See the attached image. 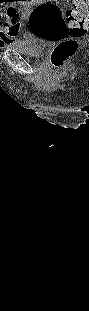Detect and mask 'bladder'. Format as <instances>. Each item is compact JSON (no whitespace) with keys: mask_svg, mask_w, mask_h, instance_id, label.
Listing matches in <instances>:
<instances>
[{"mask_svg":"<svg viewBox=\"0 0 89 311\" xmlns=\"http://www.w3.org/2000/svg\"><path fill=\"white\" fill-rule=\"evenodd\" d=\"M8 47L25 56L32 58L40 57L44 52V46L30 36H25L22 39L11 43L10 45H8Z\"/></svg>","mask_w":89,"mask_h":311,"instance_id":"bladder-1","label":"bladder"}]
</instances>
